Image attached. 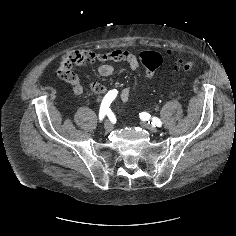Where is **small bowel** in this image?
<instances>
[{
  "mask_svg": "<svg viewBox=\"0 0 236 236\" xmlns=\"http://www.w3.org/2000/svg\"><path fill=\"white\" fill-rule=\"evenodd\" d=\"M69 61L71 67L64 75L63 79L70 85L71 91L75 95H80L83 92V86L79 77L72 71L74 66H83L87 64H94L99 62L100 66L98 72L103 77L111 76L114 71L115 63H125L132 71L139 69L140 63L138 57L129 51L113 50L109 52L99 53L90 49H76L68 52L63 61ZM90 89L95 94H102L105 92V85L92 82ZM133 93V87L131 85L125 86L121 91V98L124 101H128Z\"/></svg>",
  "mask_w": 236,
  "mask_h": 236,
  "instance_id": "1",
  "label": "small bowel"
}]
</instances>
